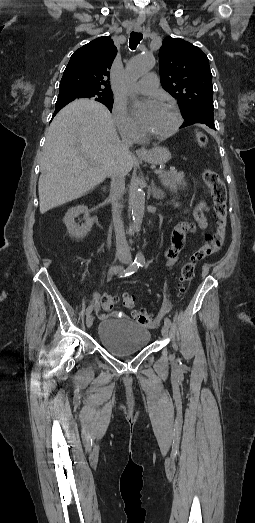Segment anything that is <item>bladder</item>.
Returning a JSON list of instances; mask_svg holds the SVG:
<instances>
[{
  "label": "bladder",
  "mask_w": 255,
  "mask_h": 523,
  "mask_svg": "<svg viewBox=\"0 0 255 523\" xmlns=\"http://www.w3.org/2000/svg\"><path fill=\"white\" fill-rule=\"evenodd\" d=\"M97 336L109 353L128 355L145 348L151 333L148 328L127 319L124 325L118 326L114 320L105 318L99 326Z\"/></svg>",
  "instance_id": "1"
}]
</instances>
